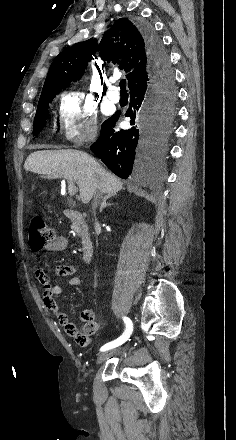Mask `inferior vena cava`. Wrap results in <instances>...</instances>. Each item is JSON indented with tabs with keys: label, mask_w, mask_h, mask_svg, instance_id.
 Wrapping results in <instances>:
<instances>
[{
	"label": "inferior vena cava",
	"mask_w": 236,
	"mask_h": 440,
	"mask_svg": "<svg viewBox=\"0 0 236 440\" xmlns=\"http://www.w3.org/2000/svg\"><path fill=\"white\" fill-rule=\"evenodd\" d=\"M99 197H100V194L96 191L95 194H94L93 209L96 208V206H97V201H98V198H99Z\"/></svg>",
	"instance_id": "obj_1"
}]
</instances>
